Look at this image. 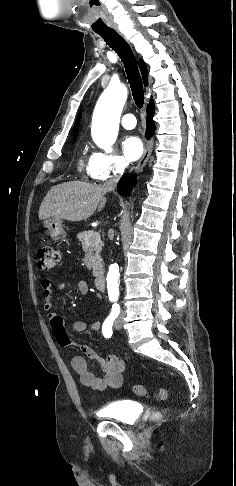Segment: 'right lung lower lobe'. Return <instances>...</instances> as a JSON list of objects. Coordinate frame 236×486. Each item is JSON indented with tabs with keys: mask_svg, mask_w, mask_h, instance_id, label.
Returning a JSON list of instances; mask_svg holds the SVG:
<instances>
[{
	"mask_svg": "<svg viewBox=\"0 0 236 486\" xmlns=\"http://www.w3.org/2000/svg\"><path fill=\"white\" fill-rule=\"evenodd\" d=\"M153 114H154V103L153 101L150 102V104L147 106V129H146V137L150 138L151 135L153 134L155 130V124L153 121ZM136 180L135 176L132 175L130 176V179L128 181V174L124 175L120 181L118 182L117 188L118 192L125 196L128 197L130 195L132 187L135 185Z\"/></svg>",
	"mask_w": 236,
	"mask_h": 486,
	"instance_id": "1",
	"label": "right lung lower lobe"
}]
</instances>
